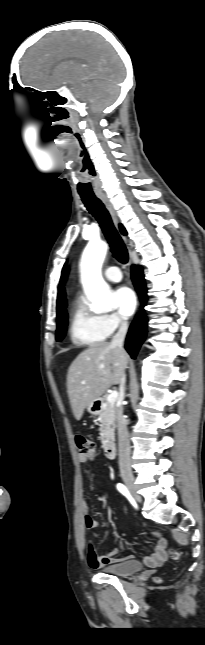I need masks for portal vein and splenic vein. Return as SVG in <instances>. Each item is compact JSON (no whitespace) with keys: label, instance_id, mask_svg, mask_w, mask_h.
<instances>
[{"label":"portal vein and splenic vein","instance_id":"portal-vein-and-splenic-vein-1","mask_svg":"<svg viewBox=\"0 0 205 645\" xmlns=\"http://www.w3.org/2000/svg\"><path fill=\"white\" fill-rule=\"evenodd\" d=\"M117 398H118V392L113 391L111 394L108 395L107 400L113 403L117 400Z\"/></svg>","mask_w":205,"mask_h":645}]
</instances>
